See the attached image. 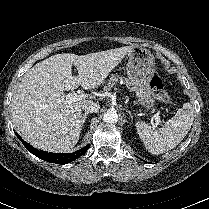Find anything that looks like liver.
I'll return each mask as SVG.
<instances>
[{"mask_svg":"<svg viewBox=\"0 0 209 209\" xmlns=\"http://www.w3.org/2000/svg\"><path fill=\"white\" fill-rule=\"evenodd\" d=\"M134 46L75 55L56 54L35 64L22 78L11 102L12 121L22 138L48 152H68L81 133L82 106L86 100L68 103L64 90L80 85L100 86ZM72 65L78 76L72 75Z\"/></svg>","mask_w":209,"mask_h":209,"instance_id":"1","label":"liver"}]
</instances>
